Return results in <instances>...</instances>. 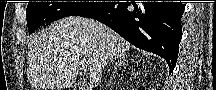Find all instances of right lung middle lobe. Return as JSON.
Returning <instances> with one entry per match:
<instances>
[{
    "label": "right lung middle lobe",
    "mask_w": 216,
    "mask_h": 90,
    "mask_svg": "<svg viewBox=\"0 0 216 90\" xmlns=\"http://www.w3.org/2000/svg\"><path fill=\"white\" fill-rule=\"evenodd\" d=\"M103 3L86 2H29L26 9L28 31L31 34L44 23L67 16H79Z\"/></svg>",
    "instance_id": "1"
}]
</instances>
